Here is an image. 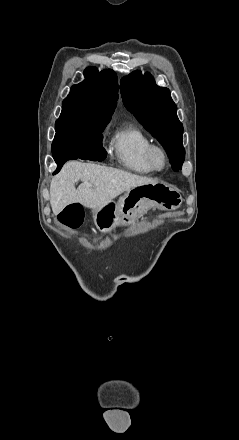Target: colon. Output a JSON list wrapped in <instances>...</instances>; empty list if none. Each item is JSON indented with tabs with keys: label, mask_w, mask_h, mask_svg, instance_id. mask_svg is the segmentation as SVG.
Masks as SVG:
<instances>
[{
	"label": "colon",
	"mask_w": 239,
	"mask_h": 440,
	"mask_svg": "<svg viewBox=\"0 0 239 440\" xmlns=\"http://www.w3.org/2000/svg\"><path fill=\"white\" fill-rule=\"evenodd\" d=\"M82 215V207L79 204H71L60 213L59 220L70 228H77L81 225Z\"/></svg>",
	"instance_id": "colon-1"
}]
</instances>
